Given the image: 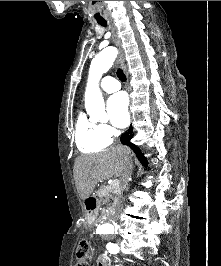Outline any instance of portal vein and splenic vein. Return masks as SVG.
<instances>
[{"instance_id":"1","label":"portal vein and splenic vein","mask_w":221,"mask_h":266,"mask_svg":"<svg viewBox=\"0 0 221 266\" xmlns=\"http://www.w3.org/2000/svg\"><path fill=\"white\" fill-rule=\"evenodd\" d=\"M119 186V180L118 179H114L111 184L109 185V187H112V188H116Z\"/></svg>"}]
</instances>
